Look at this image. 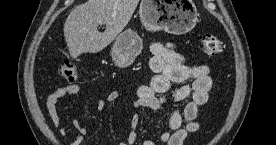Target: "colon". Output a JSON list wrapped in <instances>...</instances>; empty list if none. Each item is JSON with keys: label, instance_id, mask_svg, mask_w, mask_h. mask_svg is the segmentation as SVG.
<instances>
[{"label": "colon", "instance_id": "1", "mask_svg": "<svg viewBox=\"0 0 276 145\" xmlns=\"http://www.w3.org/2000/svg\"><path fill=\"white\" fill-rule=\"evenodd\" d=\"M202 49L207 55H217L223 51V43L212 34H204L201 37ZM59 74L68 81H76L79 78L77 68L69 62L59 67Z\"/></svg>", "mask_w": 276, "mask_h": 145}]
</instances>
